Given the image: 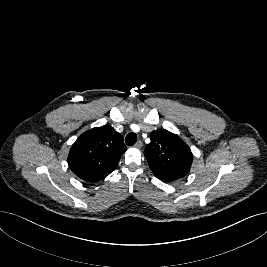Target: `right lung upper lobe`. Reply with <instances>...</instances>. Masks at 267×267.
Listing matches in <instances>:
<instances>
[{
  "instance_id": "right-lung-upper-lobe-1",
  "label": "right lung upper lobe",
  "mask_w": 267,
  "mask_h": 267,
  "mask_svg": "<svg viewBox=\"0 0 267 267\" xmlns=\"http://www.w3.org/2000/svg\"><path fill=\"white\" fill-rule=\"evenodd\" d=\"M126 149L123 137L113 127H96L78 137L69 151L68 164L79 178L96 182L116 168Z\"/></svg>"
}]
</instances>
